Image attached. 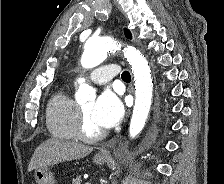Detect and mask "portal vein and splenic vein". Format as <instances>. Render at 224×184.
<instances>
[{
    "label": "portal vein and splenic vein",
    "mask_w": 224,
    "mask_h": 184,
    "mask_svg": "<svg viewBox=\"0 0 224 184\" xmlns=\"http://www.w3.org/2000/svg\"><path fill=\"white\" fill-rule=\"evenodd\" d=\"M85 184H91L90 182H86Z\"/></svg>",
    "instance_id": "obj_1"
}]
</instances>
